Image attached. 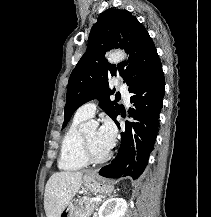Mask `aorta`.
I'll list each match as a JSON object with an SVG mask.
<instances>
[{
  "label": "aorta",
  "instance_id": "1",
  "mask_svg": "<svg viewBox=\"0 0 211 217\" xmlns=\"http://www.w3.org/2000/svg\"><path fill=\"white\" fill-rule=\"evenodd\" d=\"M106 57L110 63L117 64L126 58V54L123 51L117 50L107 53Z\"/></svg>",
  "mask_w": 211,
  "mask_h": 217
}]
</instances>
